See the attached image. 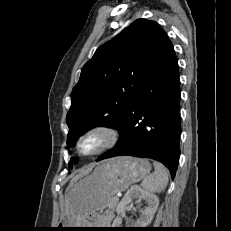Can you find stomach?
<instances>
[{"label":"stomach","mask_w":231,"mask_h":231,"mask_svg":"<svg viewBox=\"0 0 231 231\" xmlns=\"http://www.w3.org/2000/svg\"><path fill=\"white\" fill-rule=\"evenodd\" d=\"M147 159L120 156L98 163L89 173L71 181L65 198L61 228H87L89 216L108 207L110 199L149 174ZM71 230V229H61Z\"/></svg>","instance_id":"obj_1"}]
</instances>
